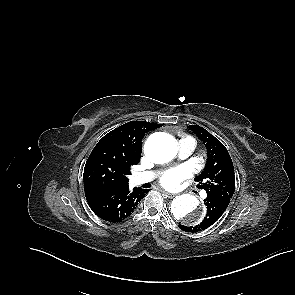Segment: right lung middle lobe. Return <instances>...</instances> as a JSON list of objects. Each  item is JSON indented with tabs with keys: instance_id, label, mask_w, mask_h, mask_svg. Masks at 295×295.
I'll use <instances>...</instances> for the list:
<instances>
[{
	"instance_id": "obj_1",
	"label": "right lung middle lobe",
	"mask_w": 295,
	"mask_h": 295,
	"mask_svg": "<svg viewBox=\"0 0 295 295\" xmlns=\"http://www.w3.org/2000/svg\"><path fill=\"white\" fill-rule=\"evenodd\" d=\"M138 164L106 145L91 152L84 168V190L121 188L128 184L130 167Z\"/></svg>"
}]
</instances>
